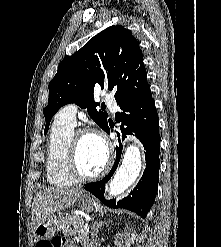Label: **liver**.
Listing matches in <instances>:
<instances>
[{"mask_svg": "<svg viewBox=\"0 0 221 247\" xmlns=\"http://www.w3.org/2000/svg\"><path fill=\"white\" fill-rule=\"evenodd\" d=\"M82 189L43 188L37 193L32 205L33 229L49 216L73 205L81 196Z\"/></svg>", "mask_w": 221, "mask_h": 247, "instance_id": "liver-1", "label": "liver"}]
</instances>
